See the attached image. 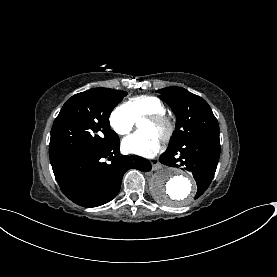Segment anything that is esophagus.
I'll return each mask as SVG.
<instances>
[{"mask_svg": "<svg viewBox=\"0 0 277 277\" xmlns=\"http://www.w3.org/2000/svg\"><path fill=\"white\" fill-rule=\"evenodd\" d=\"M151 165H152V170L156 171L162 168V164L159 162L158 158H154L150 160Z\"/></svg>", "mask_w": 277, "mask_h": 277, "instance_id": "obj_1", "label": "esophagus"}]
</instances>
